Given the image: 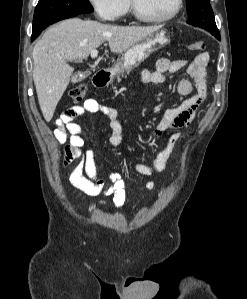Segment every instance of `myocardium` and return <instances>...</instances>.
<instances>
[{"mask_svg":"<svg viewBox=\"0 0 247 299\" xmlns=\"http://www.w3.org/2000/svg\"><path fill=\"white\" fill-rule=\"evenodd\" d=\"M182 5H183V0H176L174 8L169 14L162 16V17H150V16L145 15L140 10L137 0H130V6H131L134 16L137 19H139L143 22H148V23H164V22L172 20L180 12Z\"/></svg>","mask_w":247,"mask_h":299,"instance_id":"obj_1","label":"myocardium"}]
</instances>
